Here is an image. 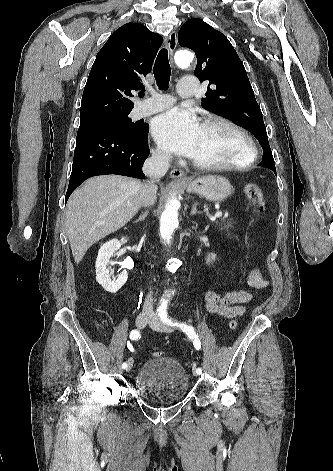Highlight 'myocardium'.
Instances as JSON below:
<instances>
[{"label": "myocardium", "instance_id": "myocardium-1", "mask_svg": "<svg viewBox=\"0 0 333 471\" xmlns=\"http://www.w3.org/2000/svg\"><path fill=\"white\" fill-rule=\"evenodd\" d=\"M213 124H221L229 127L231 130L236 132L243 140L246 147L245 156L238 161L227 162V163H201L197 160L192 159V165L200 170L204 171H225V170H242L251 166L257 158V148L254 140L250 134L235 121L223 117V116H212L206 118L201 126H208Z\"/></svg>", "mask_w": 333, "mask_h": 471}]
</instances>
